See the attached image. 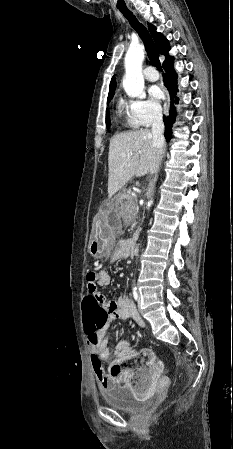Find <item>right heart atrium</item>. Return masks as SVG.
Wrapping results in <instances>:
<instances>
[{"mask_svg":"<svg viewBox=\"0 0 233 449\" xmlns=\"http://www.w3.org/2000/svg\"><path fill=\"white\" fill-rule=\"evenodd\" d=\"M131 104L133 114L140 125L149 126L161 118L160 105L151 99L136 100Z\"/></svg>","mask_w":233,"mask_h":449,"instance_id":"obj_1","label":"right heart atrium"}]
</instances>
